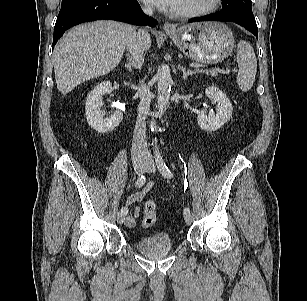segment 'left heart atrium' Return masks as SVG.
I'll list each match as a JSON object with an SVG mask.
<instances>
[{
  "mask_svg": "<svg viewBox=\"0 0 307 301\" xmlns=\"http://www.w3.org/2000/svg\"><path fill=\"white\" fill-rule=\"evenodd\" d=\"M161 9H175L179 0H143Z\"/></svg>",
  "mask_w": 307,
  "mask_h": 301,
  "instance_id": "left-heart-atrium-1",
  "label": "left heart atrium"
}]
</instances>
